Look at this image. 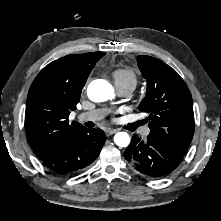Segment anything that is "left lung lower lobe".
Segmentation results:
<instances>
[{
    "label": "left lung lower lobe",
    "mask_w": 221,
    "mask_h": 221,
    "mask_svg": "<svg viewBox=\"0 0 221 221\" xmlns=\"http://www.w3.org/2000/svg\"><path fill=\"white\" fill-rule=\"evenodd\" d=\"M124 157L142 175L160 178L175 170L182 162L184 155L149 135L146 141L134 135L124 152Z\"/></svg>",
    "instance_id": "left-lung-lower-lobe-1"
}]
</instances>
